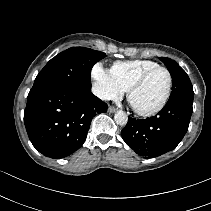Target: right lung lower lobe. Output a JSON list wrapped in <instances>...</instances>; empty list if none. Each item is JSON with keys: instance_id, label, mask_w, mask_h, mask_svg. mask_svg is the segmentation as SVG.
<instances>
[{"instance_id": "1", "label": "right lung lower lobe", "mask_w": 211, "mask_h": 211, "mask_svg": "<svg viewBox=\"0 0 211 211\" xmlns=\"http://www.w3.org/2000/svg\"><path fill=\"white\" fill-rule=\"evenodd\" d=\"M107 104L90 92L67 87H32L24 123L33 146L44 156L65 158L84 143L92 118Z\"/></svg>"}]
</instances>
